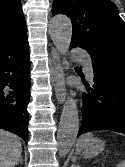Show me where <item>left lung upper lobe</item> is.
<instances>
[{
    "instance_id": "obj_1",
    "label": "left lung upper lobe",
    "mask_w": 125,
    "mask_h": 167,
    "mask_svg": "<svg viewBox=\"0 0 125 167\" xmlns=\"http://www.w3.org/2000/svg\"><path fill=\"white\" fill-rule=\"evenodd\" d=\"M52 14L72 21V46L82 47L92 61L125 68V23L111 0H54Z\"/></svg>"
}]
</instances>
